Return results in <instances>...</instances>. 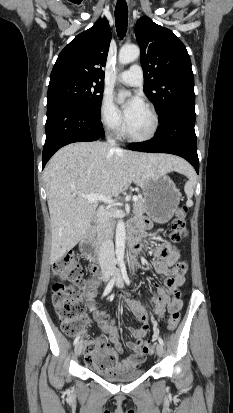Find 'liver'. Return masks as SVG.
Segmentation results:
<instances>
[{"label": "liver", "instance_id": "1", "mask_svg": "<svg viewBox=\"0 0 233 413\" xmlns=\"http://www.w3.org/2000/svg\"><path fill=\"white\" fill-rule=\"evenodd\" d=\"M183 159L113 148L107 143L77 142L56 152L44 170L51 218L50 263L58 261L86 234L97 207L80 194L118 196L133 182L157 173L190 171Z\"/></svg>", "mask_w": 233, "mask_h": 413}]
</instances>
